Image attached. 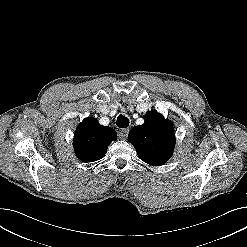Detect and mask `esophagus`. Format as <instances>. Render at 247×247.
Instances as JSON below:
<instances>
[{
    "label": "esophagus",
    "mask_w": 247,
    "mask_h": 247,
    "mask_svg": "<svg viewBox=\"0 0 247 247\" xmlns=\"http://www.w3.org/2000/svg\"><path fill=\"white\" fill-rule=\"evenodd\" d=\"M128 132H129V129H121V130H119V132H118L119 138L122 139V140L127 139Z\"/></svg>",
    "instance_id": "obj_1"
}]
</instances>
